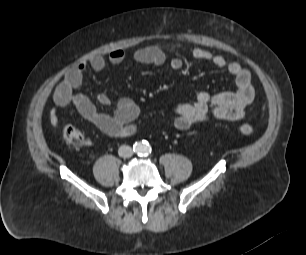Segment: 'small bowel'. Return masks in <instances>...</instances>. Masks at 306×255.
Returning <instances> with one entry per match:
<instances>
[{"mask_svg":"<svg viewBox=\"0 0 306 255\" xmlns=\"http://www.w3.org/2000/svg\"><path fill=\"white\" fill-rule=\"evenodd\" d=\"M193 59L208 61L216 68L227 71L234 79L236 91H226L215 95L207 92L197 94L193 103H179L174 108L172 126L176 130L185 131L199 122L211 119L237 121L245 116V110L255 97V89L251 82V74L240 63L228 61L223 55L203 48H193L190 51ZM125 59L122 49H113L107 57L96 55L89 61H82L67 70L61 82L53 93V102L56 106L72 104L78 113L88 122L93 124L102 133L114 137L124 138L131 136L136 131L135 120L140 115L139 105L129 97H121L117 101L116 109L112 114L99 112L91 100L76 90L81 86L83 74L87 68L100 72L108 63L121 64ZM132 59L140 64L155 66L167 62L165 52L156 46H147L137 49L132 54ZM183 59L172 58L169 63L171 71L183 67ZM97 100L101 105H109L110 97L100 93ZM50 124L59 127V121L54 111L50 112Z\"/></svg>","mask_w":306,"mask_h":255,"instance_id":"1","label":"small bowel"}]
</instances>
